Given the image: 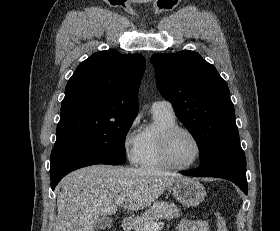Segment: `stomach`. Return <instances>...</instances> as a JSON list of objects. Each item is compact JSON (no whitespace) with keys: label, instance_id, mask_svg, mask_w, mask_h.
<instances>
[{"label":"stomach","instance_id":"1","mask_svg":"<svg viewBox=\"0 0 280 231\" xmlns=\"http://www.w3.org/2000/svg\"><path fill=\"white\" fill-rule=\"evenodd\" d=\"M174 197L186 205V207H196L205 199L206 189L198 179L194 177H179L174 181Z\"/></svg>","mask_w":280,"mask_h":231}]
</instances>
